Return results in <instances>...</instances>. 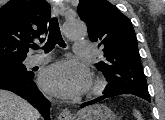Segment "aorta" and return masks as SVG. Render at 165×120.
I'll use <instances>...</instances> for the list:
<instances>
[{"instance_id":"1","label":"aorta","mask_w":165,"mask_h":120,"mask_svg":"<svg viewBox=\"0 0 165 120\" xmlns=\"http://www.w3.org/2000/svg\"><path fill=\"white\" fill-rule=\"evenodd\" d=\"M64 34L69 39H81L86 36L87 28L80 19H70L64 24Z\"/></svg>"}]
</instances>
